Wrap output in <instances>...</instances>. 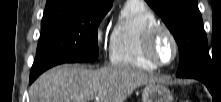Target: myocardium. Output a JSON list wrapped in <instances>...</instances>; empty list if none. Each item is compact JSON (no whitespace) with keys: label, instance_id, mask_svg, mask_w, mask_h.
I'll list each match as a JSON object with an SVG mask.
<instances>
[{"label":"myocardium","instance_id":"1","mask_svg":"<svg viewBox=\"0 0 221 102\" xmlns=\"http://www.w3.org/2000/svg\"><path fill=\"white\" fill-rule=\"evenodd\" d=\"M161 34L169 37L173 44L174 53L170 61H160L154 51L155 43ZM142 52L145 59L152 65L158 67H168L177 59L179 54V44L173 32L164 24L156 23L149 26L142 37Z\"/></svg>","mask_w":221,"mask_h":102}]
</instances>
